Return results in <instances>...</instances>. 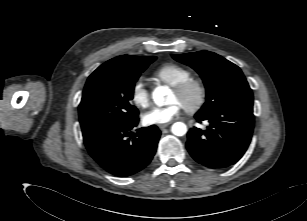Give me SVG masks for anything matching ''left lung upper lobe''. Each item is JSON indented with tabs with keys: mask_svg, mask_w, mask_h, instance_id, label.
Listing matches in <instances>:
<instances>
[{
	"mask_svg": "<svg viewBox=\"0 0 307 221\" xmlns=\"http://www.w3.org/2000/svg\"><path fill=\"white\" fill-rule=\"evenodd\" d=\"M196 70L206 88V102L198 113L208 114L229 106H253V94L242 71L209 51L172 55Z\"/></svg>",
	"mask_w": 307,
	"mask_h": 221,
	"instance_id": "obj_1",
	"label": "left lung upper lobe"
}]
</instances>
